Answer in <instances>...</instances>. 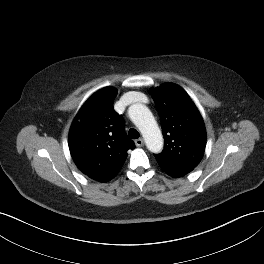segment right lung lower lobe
Segmentation results:
<instances>
[{
	"instance_id": "right-lung-lower-lobe-1",
	"label": "right lung lower lobe",
	"mask_w": 264,
	"mask_h": 264,
	"mask_svg": "<svg viewBox=\"0 0 264 264\" xmlns=\"http://www.w3.org/2000/svg\"><path fill=\"white\" fill-rule=\"evenodd\" d=\"M88 177H90V178H92V179H94L96 181H99V182H107V181L101 180V178L99 176H97V175H90Z\"/></svg>"
}]
</instances>
